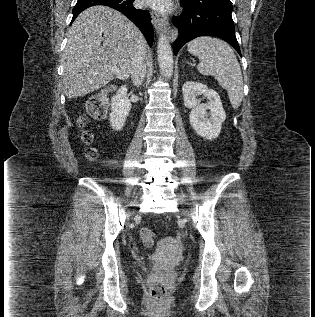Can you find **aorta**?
<instances>
[{
	"instance_id": "aorta-1",
	"label": "aorta",
	"mask_w": 315,
	"mask_h": 317,
	"mask_svg": "<svg viewBox=\"0 0 315 317\" xmlns=\"http://www.w3.org/2000/svg\"><path fill=\"white\" fill-rule=\"evenodd\" d=\"M157 53L161 74L169 79L173 73L174 61L171 45L164 34H161L158 38Z\"/></svg>"
}]
</instances>
